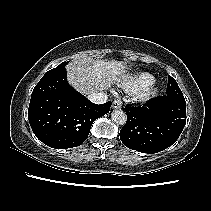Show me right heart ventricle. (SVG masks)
Here are the masks:
<instances>
[{"mask_svg":"<svg viewBox=\"0 0 211 211\" xmlns=\"http://www.w3.org/2000/svg\"><path fill=\"white\" fill-rule=\"evenodd\" d=\"M155 82V77L147 72L128 75L121 83L122 87L130 93H137Z\"/></svg>","mask_w":211,"mask_h":211,"instance_id":"obj_1","label":"right heart ventricle"}]
</instances>
